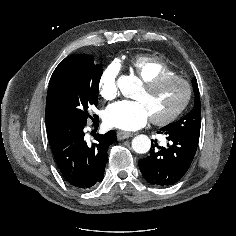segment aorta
<instances>
[{"label":"aorta","instance_id":"762f6f07","mask_svg":"<svg viewBox=\"0 0 236 236\" xmlns=\"http://www.w3.org/2000/svg\"><path fill=\"white\" fill-rule=\"evenodd\" d=\"M132 83L129 82L126 78L120 81V89L124 95L128 94V89L132 87ZM151 147V140L148 136L141 134L134 137L132 140V149L139 154L147 153Z\"/></svg>","mask_w":236,"mask_h":236}]
</instances>
